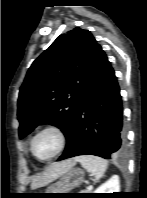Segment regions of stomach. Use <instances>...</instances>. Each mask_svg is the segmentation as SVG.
<instances>
[{"instance_id": "obj_1", "label": "stomach", "mask_w": 147, "mask_h": 198, "mask_svg": "<svg viewBox=\"0 0 147 198\" xmlns=\"http://www.w3.org/2000/svg\"><path fill=\"white\" fill-rule=\"evenodd\" d=\"M84 176L83 170L79 168L70 169L62 175L59 181L50 185L44 193H69L68 191L83 183Z\"/></svg>"}]
</instances>
